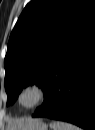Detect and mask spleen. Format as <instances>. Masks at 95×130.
Returning <instances> with one entry per match:
<instances>
[{"label": "spleen", "mask_w": 95, "mask_h": 130, "mask_svg": "<svg viewBox=\"0 0 95 130\" xmlns=\"http://www.w3.org/2000/svg\"><path fill=\"white\" fill-rule=\"evenodd\" d=\"M49 126L51 130H81L79 127L63 121H52Z\"/></svg>", "instance_id": "1"}]
</instances>
